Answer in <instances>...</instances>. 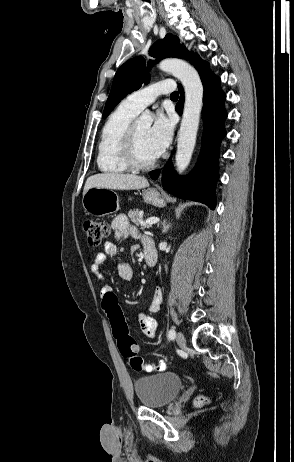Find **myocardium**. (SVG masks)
Listing matches in <instances>:
<instances>
[{
    "instance_id": "obj_1",
    "label": "myocardium",
    "mask_w": 294,
    "mask_h": 462,
    "mask_svg": "<svg viewBox=\"0 0 294 462\" xmlns=\"http://www.w3.org/2000/svg\"><path fill=\"white\" fill-rule=\"evenodd\" d=\"M135 123H130L124 132L120 156L123 163L131 170H148L152 168L159 160V156L148 162H142L137 157L135 142Z\"/></svg>"
}]
</instances>
